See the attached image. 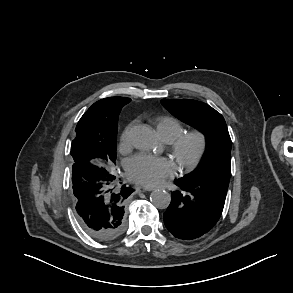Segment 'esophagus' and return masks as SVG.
I'll use <instances>...</instances> for the list:
<instances>
[{
	"label": "esophagus",
	"instance_id": "34e87169",
	"mask_svg": "<svg viewBox=\"0 0 293 293\" xmlns=\"http://www.w3.org/2000/svg\"><path fill=\"white\" fill-rule=\"evenodd\" d=\"M155 189H156V187H139V188H137V191L138 192H145V191H153Z\"/></svg>",
	"mask_w": 293,
	"mask_h": 293
}]
</instances>
